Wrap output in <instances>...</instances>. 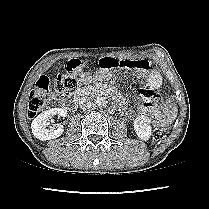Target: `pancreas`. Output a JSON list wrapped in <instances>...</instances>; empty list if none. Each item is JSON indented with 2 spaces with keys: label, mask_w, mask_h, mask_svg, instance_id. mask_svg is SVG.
<instances>
[{
  "label": "pancreas",
  "mask_w": 209,
  "mask_h": 209,
  "mask_svg": "<svg viewBox=\"0 0 209 209\" xmlns=\"http://www.w3.org/2000/svg\"><path fill=\"white\" fill-rule=\"evenodd\" d=\"M84 90L91 94H94L98 91V88L95 86H88V87H85Z\"/></svg>",
  "instance_id": "cf45deb5"
}]
</instances>
